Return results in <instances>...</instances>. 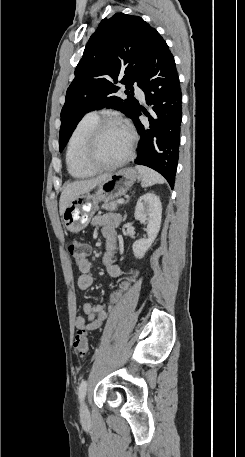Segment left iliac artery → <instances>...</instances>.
Returning a JSON list of instances; mask_svg holds the SVG:
<instances>
[{
    "label": "left iliac artery",
    "instance_id": "left-iliac-artery-1",
    "mask_svg": "<svg viewBox=\"0 0 245 457\" xmlns=\"http://www.w3.org/2000/svg\"><path fill=\"white\" fill-rule=\"evenodd\" d=\"M86 391H87V381L86 380H83L79 386V390H78V396H79V400L80 401H83L85 395H86Z\"/></svg>",
    "mask_w": 245,
    "mask_h": 457
}]
</instances>
